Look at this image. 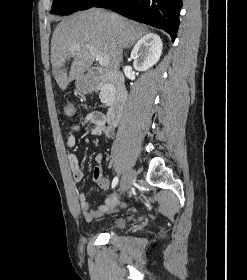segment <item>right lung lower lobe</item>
Here are the masks:
<instances>
[{"instance_id":"1","label":"right lung lower lobe","mask_w":247,"mask_h":280,"mask_svg":"<svg viewBox=\"0 0 247 280\" xmlns=\"http://www.w3.org/2000/svg\"><path fill=\"white\" fill-rule=\"evenodd\" d=\"M96 7H107L128 18L157 26L175 40L182 0H101Z\"/></svg>"}]
</instances>
